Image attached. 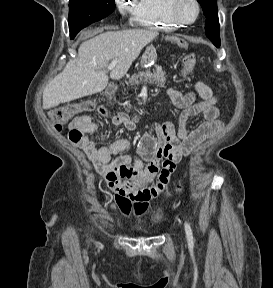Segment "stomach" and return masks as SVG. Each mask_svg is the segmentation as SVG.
<instances>
[{
    "label": "stomach",
    "mask_w": 273,
    "mask_h": 288,
    "mask_svg": "<svg viewBox=\"0 0 273 288\" xmlns=\"http://www.w3.org/2000/svg\"><path fill=\"white\" fill-rule=\"evenodd\" d=\"M157 59L156 49L153 45L148 46L141 58V66L148 68L154 64Z\"/></svg>",
    "instance_id": "0dacf381"
}]
</instances>
